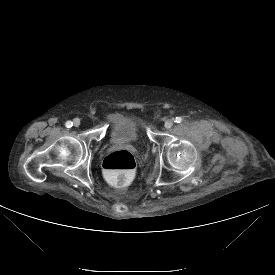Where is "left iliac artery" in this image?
<instances>
[{
  "label": "left iliac artery",
  "mask_w": 275,
  "mask_h": 275,
  "mask_svg": "<svg viewBox=\"0 0 275 275\" xmlns=\"http://www.w3.org/2000/svg\"><path fill=\"white\" fill-rule=\"evenodd\" d=\"M174 122L176 123H181L182 122V118L181 117H176Z\"/></svg>",
  "instance_id": "1"
}]
</instances>
